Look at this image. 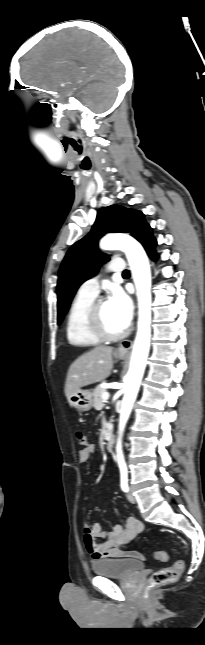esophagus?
<instances>
[{
  "mask_svg": "<svg viewBox=\"0 0 205 645\" xmlns=\"http://www.w3.org/2000/svg\"><path fill=\"white\" fill-rule=\"evenodd\" d=\"M132 347V343L129 340H124L120 343L117 348L118 354H127Z\"/></svg>",
  "mask_w": 205,
  "mask_h": 645,
  "instance_id": "1",
  "label": "esophagus"
}]
</instances>
